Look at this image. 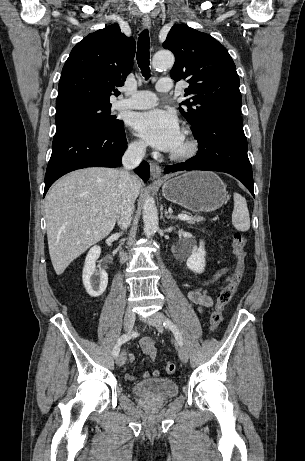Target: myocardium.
Listing matches in <instances>:
<instances>
[{"instance_id": "f54148a6", "label": "myocardium", "mask_w": 305, "mask_h": 461, "mask_svg": "<svg viewBox=\"0 0 305 461\" xmlns=\"http://www.w3.org/2000/svg\"><path fill=\"white\" fill-rule=\"evenodd\" d=\"M183 138L185 141V147L177 152H172L170 158L173 160H186L195 156L199 150V143L194 138L189 129H184Z\"/></svg>"}]
</instances>
